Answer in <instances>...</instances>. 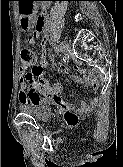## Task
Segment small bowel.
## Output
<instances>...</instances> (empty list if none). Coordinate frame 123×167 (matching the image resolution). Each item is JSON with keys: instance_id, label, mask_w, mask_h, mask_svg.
I'll return each instance as SVG.
<instances>
[{"instance_id": "obj_1", "label": "small bowel", "mask_w": 123, "mask_h": 167, "mask_svg": "<svg viewBox=\"0 0 123 167\" xmlns=\"http://www.w3.org/2000/svg\"><path fill=\"white\" fill-rule=\"evenodd\" d=\"M17 5H19V14H23L21 15V19H24L20 20V24H23L25 28L30 27L32 25L31 14L33 11V1H17ZM41 32L42 28L36 30L33 35L28 38V42L34 43L35 37L39 36ZM47 64V57L43 55L40 63L35 69H32V72L26 73L23 70L21 71L19 99L22 103H50L62 108L78 110L83 113L91 111L96 106L98 101L96 96L91 97L89 101H82L78 107L64 100L61 97V87L59 85L52 86L43 80L44 69ZM60 70L63 73H68V69L64 65L60 66ZM70 78L75 83L90 87L94 92L99 89L98 81L90 73H86L83 77L72 75ZM26 83L31 84L29 90H27Z\"/></svg>"}]
</instances>
